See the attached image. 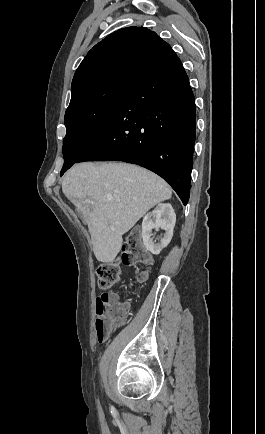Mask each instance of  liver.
<instances>
[{
  "label": "liver",
  "instance_id": "1",
  "mask_svg": "<svg viewBox=\"0 0 265 434\" xmlns=\"http://www.w3.org/2000/svg\"><path fill=\"white\" fill-rule=\"evenodd\" d=\"M62 192L80 212L98 262H114L122 236L156 204L170 200L162 178L131 164H76L62 180ZM85 200H92L89 204Z\"/></svg>",
  "mask_w": 265,
  "mask_h": 434
}]
</instances>
